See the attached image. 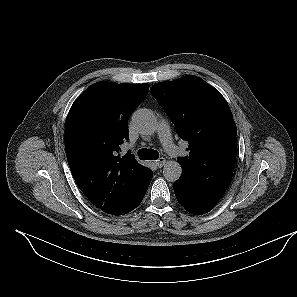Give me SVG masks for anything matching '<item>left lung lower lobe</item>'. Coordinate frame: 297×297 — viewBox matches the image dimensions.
<instances>
[{
  "instance_id": "left-lung-lower-lobe-1",
  "label": "left lung lower lobe",
  "mask_w": 297,
  "mask_h": 297,
  "mask_svg": "<svg viewBox=\"0 0 297 297\" xmlns=\"http://www.w3.org/2000/svg\"><path fill=\"white\" fill-rule=\"evenodd\" d=\"M186 177L182 176L177 182L174 183L173 189L176 195V198L178 202L190 213L195 215H202L204 213H207L211 211L214 206L217 204V202L220 200V198L215 199H201L198 201H195L193 203H187L185 201V190H186Z\"/></svg>"
}]
</instances>
